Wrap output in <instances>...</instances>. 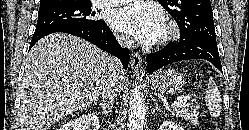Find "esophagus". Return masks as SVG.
<instances>
[{
    "mask_svg": "<svg viewBox=\"0 0 249 130\" xmlns=\"http://www.w3.org/2000/svg\"><path fill=\"white\" fill-rule=\"evenodd\" d=\"M131 68L136 73H139L142 69V61L138 52H133L131 55Z\"/></svg>",
    "mask_w": 249,
    "mask_h": 130,
    "instance_id": "obj_1",
    "label": "esophagus"
}]
</instances>
